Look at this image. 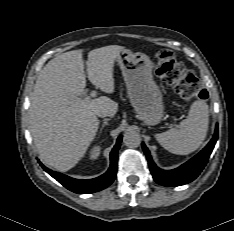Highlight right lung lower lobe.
I'll use <instances>...</instances> for the list:
<instances>
[{"label":"right lung lower lobe","mask_w":234,"mask_h":231,"mask_svg":"<svg viewBox=\"0 0 234 231\" xmlns=\"http://www.w3.org/2000/svg\"><path fill=\"white\" fill-rule=\"evenodd\" d=\"M121 140H122V135L118 137L117 143L110 154L111 164L108 171L103 175L94 179H89V180L74 179L46 168L41 162L40 165L48 174H50L53 178H55L58 182H60L63 186H65L67 189H69L72 192L79 194L97 192L108 187L115 179L117 172V152L118 149L120 148Z\"/></svg>","instance_id":"1"}]
</instances>
